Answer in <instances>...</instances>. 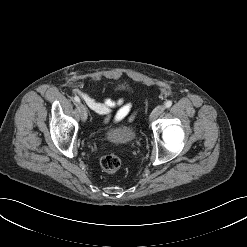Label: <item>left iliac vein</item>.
<instances>
[{"label": "left iliac vein", "instance_id": "4c4485c4", "mask_svg": "<svg viewBox=\"0 0 247 247\" xmlns=\"http://www.w3.org/2000/svg\"><path fill=\"white\" fill-rule=\"evenodd\" d=\"M165 111L164 105H158L150 114V120H155L158 116H160Z\"/></svg>", "mask_w": 247, "mask_h": 247}]
</instances>
